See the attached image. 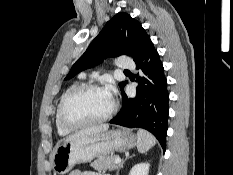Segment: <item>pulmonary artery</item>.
I'll return each instance as SVG.
<instances>
[{
    "label": "pulmonary artery",
    "instance_id": "1",
    "mask_svg": "<svg viewBox=\"0 0 233 175\" xmlns=\"http://www.w3.org/2000/svg\"><path fill=\"white\" fill-rule=\"evenodd\" d=\"M135 66V63L127 59L125 56H120L117 61V67L121 69H133Z\"/></svg>",
    "mask_w": 233,
    "mask_h": 175
}]
</instances>
